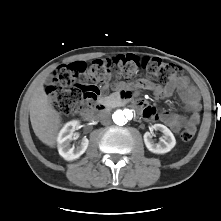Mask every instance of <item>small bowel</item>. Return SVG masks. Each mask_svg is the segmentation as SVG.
<instances>
[{"mask_svg":"<svg viewBox=\"0 0 221 221\" xmlns=\"http://www.w3.org/2000/svg\"><path fill=\"white\" fill-rule=\"evenodd\" d=\"M139 85L150 89L156 97L162 99L170 97L173 93V90L177 88L183 101L184 108L190 113L188 117L173 113H158L150 105L143 102L140 109L142 110V114L146 119H161L174 132H178L181 129L187 128L196 130V127L200 121V97L196 89L190 84L186 77L177 78L171 85L164 87L152 84L145 80L141 81Z\"/></svg>","mask_w":221,"mask_h":221,"instance_id":"obj_1","label":"small bowel"}]
</instances>
